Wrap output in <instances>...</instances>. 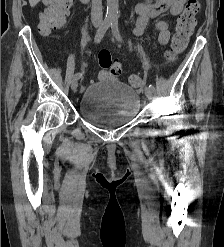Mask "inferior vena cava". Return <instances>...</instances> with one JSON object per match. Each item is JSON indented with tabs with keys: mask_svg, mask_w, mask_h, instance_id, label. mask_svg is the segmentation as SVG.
<instances>
[{
	"mask_svg": "<svg viewBox=\"0 0 224 247\" xmlns=\"http://www.w3.org/2000/svg\"><path fill=\"white\" fill-rule=\"evenodd\" d=\"M91 22L93 24L103 22L102 0H92Z\"/></svg>",
	"mask_w": 224,
	"mask_h": 247,
	"instance_id": "602c4592",
	"label": "inferior vena cava"
}]
</instances>
